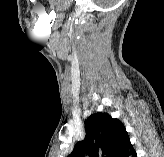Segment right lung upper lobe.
Returning a JSON list of instances; mask_svg holds the SVG:
<instances>
[{
  "label": "right lung upper lobe",
  "mask_w": 164,
  "mask_h": 157,
  "mask_svg": "<svg viewBox=\"0 0 164 157\" xmlns=\"http://www.w3.org/2000/svg\"><path fill=\"white\" fill-rule=\"evenodd\" d=\"M85 130V139L77 142L67 157H117L129 141L124 125L107 113L92 114Z\"/></svg>",
  "instance_id": "cb5924a9"
}]
</instances>
